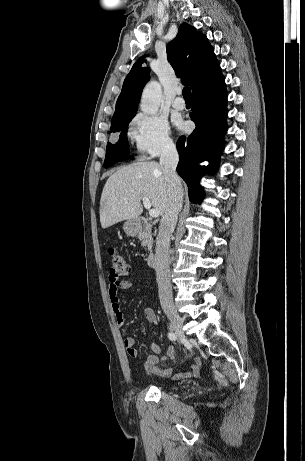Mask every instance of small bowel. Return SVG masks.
I'll list each match as a JSON object with an SVG mask.
<instances>
[{
    "mask_svg": "<svg viewBox=\"0 0 305 461\" xmlns=\"http://www.w3.org/2000/svg\"><path fill=\"white\" fill-rule=\"evenodd\" d=\"M132 286H133L132 283L128 280L115 279L109 276L108 296L111 302V309L114 314L115 321L120 326H122L125 323L126 319L121 310L119 291L129 290L132 288ZM143 314L150 323L157 325L158 319L152 308H149V307L144 308ZM124 345L130 356L132 357L137 356V350L135 347V339L133 337H126L124 340ZM150 348L152 350V353L146 357L143 363V370L151 374H157L160 376H169L171 374V370L169 368L160 369L157 367V364L160 362V360H164L166 357L170 359H175L176 355L174 353V349L171 346H169L167 348L166 356H162L161 355L162 349L159 344H157L156 342H152L150 344ZM187 357H188V354L181 357L180 360L183 361ZM201 368H202L201 360L196 359L195 363L190 367L188 371L181 372V373L174 375L173 379L179 380V379H184L188 377H198L200 375Z\"/></svg>",
    "mask_w": 305,
    "mask_h": 461,
    "instance_id": "1",
    "label": "small bowel"
}]
</instances>
